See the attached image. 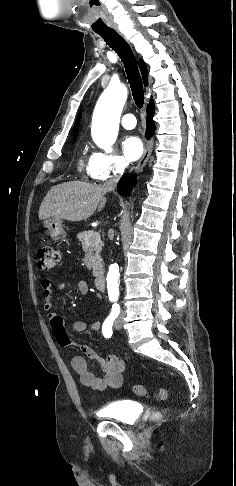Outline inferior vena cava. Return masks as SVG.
I'll list each match as a JSON object with an SVG mask.
<instances>
[{
  "label": "inferior vena cava",
  "mask_w": 236,
  "mask_h": 486,
  "mask_svg": "<svg viewBox=\"0 0 236 486\" xmlns=\"http://www.w3.org/2000/svg\"><path fill=\"white\" fill-rule=\"evenodd\" d=\"M126 161L125 160H120L117 165H116V171L114 172V177L106 181L103 185L104 188H106L108 191H113L116 187V184L119 180V175L124 172V169L126 167Z\"/></svg>",
  "instance_id": "inferior-vena-cava-1"
}]
</instances>
